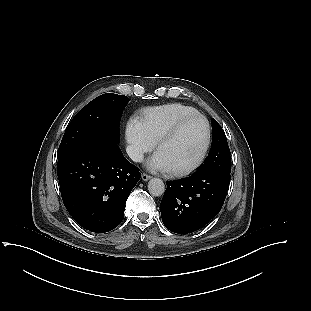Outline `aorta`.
<instances>
[{"label": "aorta", "instance_id": "obj_1", "mask_svg": "<svg viewBox=\"0 0 311 311\" xmlns=\"http://www.w3.org/2000/svg\"><path fill=\"white\" fill-rule=\"evenodd\" d=\"M148 191L153 196H161L165 192V185L162 179L160 178H152L148 182Z\"/></svg>", "mask_w": 311, "mask_h": 311}]
</instances>
